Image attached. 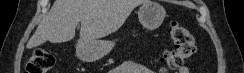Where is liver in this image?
I'll return each instance as SVG.
<instances>
[{
	"mask_svg": "<svg viewBox=\"0 0 244 73\" xmlns=\"http://www.w3.org/2000/svg\"><path fill=\"white\" fill-rule=\"evenodd\" d=\"M147 0H55L27 43L31 49L46 41L62 43L75 37L81 23L80 41H92L116 32L131 12Z\"/></svg>",
	"mask_w": 244,
	"mask_h": 73,
	"instance_id": "obj_1",
	"label": "liver"
}]
</instances>
